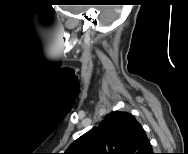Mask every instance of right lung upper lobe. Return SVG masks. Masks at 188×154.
I'll list each match as a JSON object with an SVG mask.
<instances>
[{
  "instance_id": "cb5924a9",
  "label": "right lung upper lobe",
  "mask_w": 188,
  "mask_h": 154,
  "mask_svg": "<svg viewBox=\"0 0 188 154\" xmlns=\"http://www.w3.org/2000/svg\"><path fill=\"white\" fill-rule=\"evenodd\" d=\"M151 149L136 118L128 112L113 111L75 140L64 154H147Z\"/></svg>"
}]
</instances>
